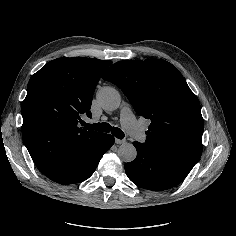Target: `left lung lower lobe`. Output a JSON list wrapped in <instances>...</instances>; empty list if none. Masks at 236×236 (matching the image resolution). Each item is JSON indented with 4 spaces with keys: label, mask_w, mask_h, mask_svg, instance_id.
Wrapping results in <instances>:
<instances>
[{
    "label": "left lung lower lobe",
    "mask_w": 236,
    "mask_h": 236,
    "mask_svg": "<svg viewBox=\"0 0 236 236\" xmlns=\"http://www.w3.org/2000/svg\"><path fill=\"white\" fill-rule=\"evenodd\" d=\"M137 157L125 164L128 178L137 186L161 191L181 183L191 168L172 155L135 141Z\"/></svg>",
    "instance_id": "0a47b994"
}]
</instances>
